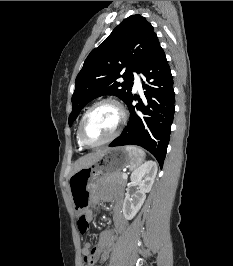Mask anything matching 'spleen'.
Wrapping results in <instances>:
<instances>
[{
  "mask_svg": "<svg viewBox=\"0 0 233 266\" xmlns=\"http://www.w3.org/2000/svg\"><path fill=\"white\" fill-rule=\"evenodd\" d=\"M126 150L130 153L133 159L132 169H136L145 159V152L136 146H126Z\"/></svg>",
  "mask_w": 233,
  "mask_h": 266,
  "instance_id": "1",
  "label": "spleen"
}]
</instances>
